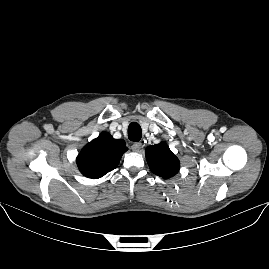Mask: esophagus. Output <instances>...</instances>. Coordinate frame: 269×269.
Masks as SVG:
<instances>
[{
  "label": "esophagus",
  "instance_id": "esophagus-1",
  "mask_svg": "<svg viewBox=\"0 0 269 269\" xmlns=\"http://www.w3.org/2000/svg\"><path fill=\"white\" fill-rule=\"evenodd\" d=\"M132 150L134 152H138L141 148H142V143L141 142H135L132 146H131Z\"/></svg>",
  "mask_w": 269,
  "mask_h": 269
}]
</instances>
